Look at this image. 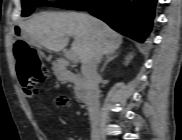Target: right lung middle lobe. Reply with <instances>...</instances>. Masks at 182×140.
<instances>
[{
  "mask_svg": "<svg viewBox=\"0 0 182 140\" xmlns=\"http://www.w3.org/2000/svg\"><path fill=\"white\" fill-rule=\"evenodd\" d=\"M99 1L100 0H62L52 4L45 2V0H22V16L26 17L30 15L34 11L35 7L41 5H52L70 10H83L87 6L96 4Z\"/></svg>",
  "mask_w": 182,
  "mask_h": 140,
  "instance_id": "obj_1",
  "label": "right lung middle lobe"
}]
</instances>
